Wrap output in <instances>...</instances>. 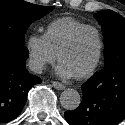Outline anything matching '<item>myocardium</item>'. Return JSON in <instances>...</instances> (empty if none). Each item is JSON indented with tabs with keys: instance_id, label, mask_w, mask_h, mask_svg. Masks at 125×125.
I'll use <instances>...</instances> for the list:
<instances>
[{
	"instance_id": "f54148a6",
	"label": "myocardium",
	"mask_w": 125,
	"mask_h": 125,
	"mask_svg": "<svg viewBox=\"0 0 125 125\" xmlns=\"http://www.w3.org/2000/svg\"><path fill=\"white\" fill-rule=\"evenodd\" d=\"M89 30L94 31L97 34L98 42H99L98 52L92 65L85 72L75 75L74 78L76 79H85V78L90 77L95 72V70L97 69L100 63L102 53H103V47H104L103 37H102L100 30L97 27L91 26V25H87L81 29H78L68 38V40L61 46V48L59 49L57 53V58L60 61L62 55L73 46L77 38L82 33L89 31Z\"/></svg>"
}]
</instances>
